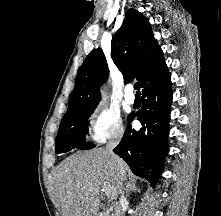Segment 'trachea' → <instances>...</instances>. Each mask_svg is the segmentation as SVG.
<instances>
[{
    "mask_svg": "<svg viewBox=\"0 0 221 216\" xmlns=\"http://www.w3.org/2000/svg\"><path fill=\"white\" fill-rule=\"evenodd\" d=\"M134 89L137 90V93H139L140 83H135V84H134Z\"/></svg>",
    "mask_w": 221,
    "mask_h": 216,
    "instance_id": "1",
    "label": "trachea"
}]
</instances>
